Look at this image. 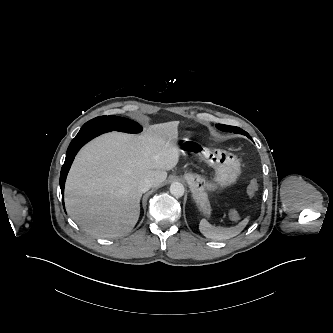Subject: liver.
Masks as SVG:
<instances>
[{
	"label": "liver",
	"mask_w": 333,
	"mask_h": 333,
	"mask_svg": "<svg viewBox=\"0 0 333 333\" xmlns=\"http://www.w3.org/2000/svg\"><path fill=\"white\" fill-rule=\"evenodd\" d=\"M178 121L154 124L139 135L111 132L77 154L65 185V205L87 233L116 238L129 233L140 215L144 178L158 186L179 160Z\"/></svg>",
	"instance_id": "liver-1"
}]
</instances>
